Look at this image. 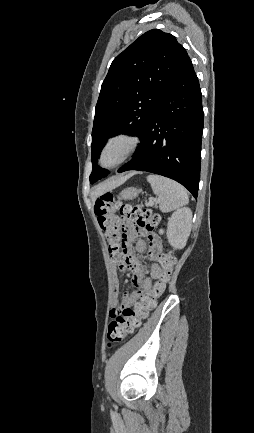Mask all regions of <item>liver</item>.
<instances>
[{
    "mask_svg": "<svg viewBox=\"0 0 254 433\" xmlns=\"http://www.w3.org/2000/svg\"><path fill=\"white\" fill-rule=\"evenodd\" d=\"M134 173H130L126 176H122L119 178H115V179H110L107 180L99 185H97L96 187L93 188L92 193H91V197L92 199L97 198L98 196H100L101 194H103L106 191H110L120 185H122L127 179H129Z\"/></svg>",
    "mask_w": 254,
    "mask_h": 433,
    "instance_id": "liver-1",
    "label": "liver"
}]
</instances>
